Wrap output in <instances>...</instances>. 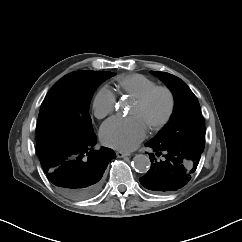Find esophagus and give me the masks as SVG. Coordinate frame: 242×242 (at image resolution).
Returning a JSON list of instances; mask_svg holds the SVG:
<instances>
[{"label":"esophagus","instance_id":"34e87169","mask_svg":"<svg viewBox=\"0 0 242 242\" xmlns=\"http://www.w3.org/2000/svg\"><path fill=\"white\" fill-rule=\"evenodd\" d=\"M116 155H117L118 158H123V157L130 156V154L124 153V152H121V151H117Z\"/></svg>","mask_w":242,"mask_h":242}]
</instances>
